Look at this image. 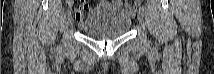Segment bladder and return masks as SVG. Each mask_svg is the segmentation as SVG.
I'll return each instance as SVG.
<instances>
[{
  "label": "bladder",
  "instance_id": "31cf9c89",
  "mask_svg": "<svg viewBox=\"0 0 214 74\" xmlns=\"http://www.w3.org/2000/svg\"><path fill=\"white\" fill-rule=\"evenodd\" d=\"M132 24L131 13L123 6L97 9L80 27L91 38L110 39L124 35Z\"/></svg>",
  "mask_w": 214,
  "mask_h": 74
}]
</instances>
